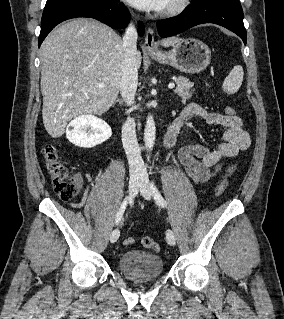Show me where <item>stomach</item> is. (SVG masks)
<instances>
[{"label": "stomach", "mask_w": 284, "mask_h": 319, "mask_svg": "<svg viewBox=\"0 0 284 319\" xmlns=\"http://www.w3.org/2000/svg\"><path fill=\"white\" fill-rule=\"evenodd\" d=\"M160 64H167L184 73H199L211 61V50L195 38L180 39L168 52L150 53Z\"/></svg>", "instance_id": "0dacf381"}]
</instances>
